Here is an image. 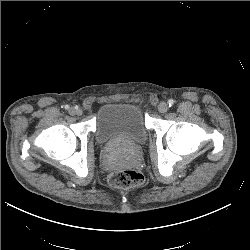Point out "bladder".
<instances>
[{
    "mask_svg": "<svg viewBox=\"0 0 250 250\" xmlns=\"http://www.w3.org/2000/svg\"><path fill=\"white\" fill-rule=\"evenodd\" d=\"M148 129L138 106L131 103H105L96 116L95 140L99 146L126 144L140 146Z\"/></svg>",
    "mask_w": 250,
    "mask_h": 250,
    "instance_id": "31cf9c89",
    "label": "bladder"
}]
</instances>
